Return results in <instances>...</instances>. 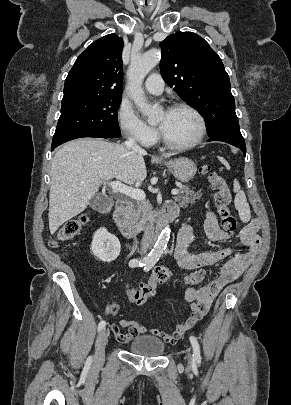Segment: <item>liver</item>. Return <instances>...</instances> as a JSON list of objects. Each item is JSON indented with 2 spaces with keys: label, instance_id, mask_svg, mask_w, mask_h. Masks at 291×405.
I'll return each instance as SVG.
<instances>
[{
  "label": "liver",
  "instance_id": "liver-1",
  "mask_svg": "<svg viewBox=\"0 0 291 405\" xmlns=\"http://www.w3.org/2000/svg\"><path fill=\"white\" fill-rule=\"evenodd\" d=\"M145 153L98 138L67 142L58 149L51 167L49 229L54 234L66 221L83 212L99 187L116 178L132 185L147 176ZM172 154H165V158Z\"/></svg>",
  "mask_w": 291,
  "mask_h": 405
}]
</instances>
